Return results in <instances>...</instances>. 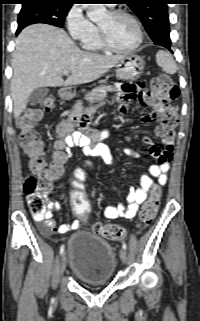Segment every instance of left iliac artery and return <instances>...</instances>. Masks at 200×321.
<instances>
[{
	"label": "left iliac artery",
	"mask_w": 200,
	"mask_h": 321,
	"mask_svg": "<svg viewBox=\"0 0 200 321\" xmlns=\"http://www.w3.org/2000/svg\"><path fill=\"white\" fill-rule=\"evenodd\" d=\"M122 247L126 250V249H127L126 243H123V244H122Z\"/></svg>",
	"instance_id": "44dca946"
}]
</instances>
